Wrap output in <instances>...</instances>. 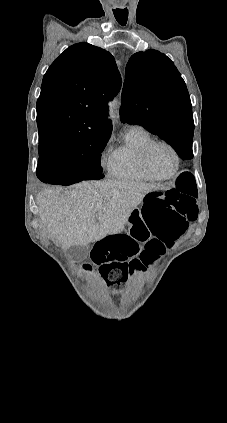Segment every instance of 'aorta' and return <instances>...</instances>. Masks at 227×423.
I'll use <instances>...</instances> for the list:
<instances>
[{"instance_id":"1","label":"aorta","mask_w":227,"mask_h":423,"mask_svg":"<svg viewBox=\"0 0 227 423\" xmlns=\"http://www.w3.org/2000/svg\"><path fill=\"white\" fill-rule=\"evenodd\" d=\"M109 118H115L116 117V106H117V101L114 100L112 102L109 103Z\"/></svg>"}]
</instances>
